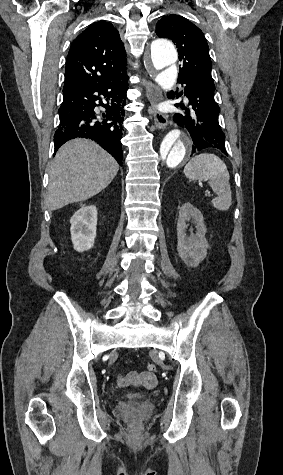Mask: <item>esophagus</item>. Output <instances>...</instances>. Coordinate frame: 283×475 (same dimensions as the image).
<instances>
[{"label":"esophagus","mask_w":283,"mask_h":475,"mask_svg":"<svg viewBox=\"0 0 283 475\" xmlns=\"http://www.w3.org/2000/svg\"><path fill=\"white\" fill-rule=\"evenodd\" d=\"M146 95L151 103V113L154 117L156 128L163 129L168 125V116L157 109L158 103L163 99L162 92L152 82H148L146 86Z\"/></svg>","instance_id":"1"}]
</instances>
